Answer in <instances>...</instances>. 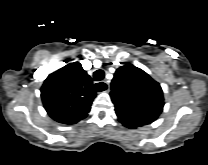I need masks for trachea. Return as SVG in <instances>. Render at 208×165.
Returning a JSON list of instances; mask_svg holds the SVG:
<instances>
[{"label": "trachea", "instance_id": "trachea-1", "mask_svg": "<svg viewBox=\"0 0 208 165\" xmlns=\"http://www.w3.org/2000/svg\"><path fill=\"white\" fill-rule=\"evenodd\" d=\"M105 76V73L103 70H97L94 72L93 74V78L95 81H101ZM95 89L99 92L104 91L106 89V87L100 85V84H96L95 85Z\"/></svg>", "mask_w": 208, "mask_h": 165}]
</instances>
